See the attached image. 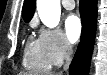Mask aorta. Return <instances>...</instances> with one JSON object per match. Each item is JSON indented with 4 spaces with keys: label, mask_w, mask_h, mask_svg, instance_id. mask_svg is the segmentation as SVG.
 <instances>
[{
    "label": "aorta",
    "mask_w": 107,
    "mask_h": 75,
    "mask_svg": "<svg viewBox=\"0 0 107 75\" xmlns=\"http://www.w3.org/2000/svg\"><path fill=\"white\" fill-rule=\"evenodd\" d=\"M37 10L42 23L48 28H54L59 24L60 0H37Z\"/></svg>",
    "instance_id": "1"
}]
</instances>
